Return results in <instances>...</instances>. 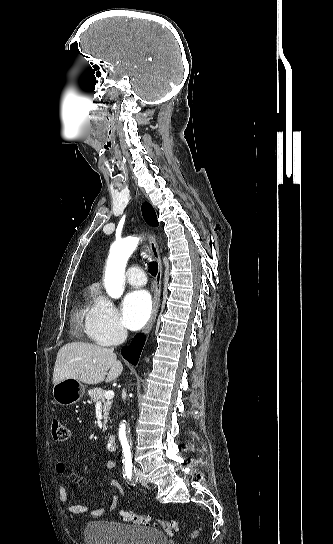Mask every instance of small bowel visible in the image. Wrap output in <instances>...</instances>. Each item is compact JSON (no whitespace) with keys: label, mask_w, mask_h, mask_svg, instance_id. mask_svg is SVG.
<instances>
[{"label":"small bowel","mask_w":333,"mask_h":544,"mask_svg":"<svg viewBox=\"0 0 333 544\" xmlns=\"http://www.w3.org/2000/svg\"><path fill=\"white\" fill-rule=\"evenodd\" d=\"M115 466H116V463L114 460H108L105 463L106 470H112L115 468ZM55 469L58 474H64L66 472L65 459H60L56 463ZM110 486L114 490L115 493L108 508L110 510H115L117 508L118 499H119V496L116 492H118L121 495H123L124 492L119 482L116 480H112L110 482ZM59 497H60V500L66 505V510L73 519H76L77 516L80 514H88L91 517H100L107 509V507L90 508L88 506L81 505V504H73L69 499L65 486L62 484L59 486Z\"/></svg>","instance_id":"obj_1"}]
</instances>
